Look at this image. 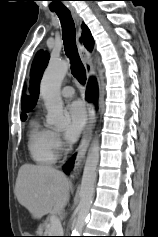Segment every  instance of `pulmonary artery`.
I'll return each mask as SVG.
<instances>
[{"label": "pulmonary artery", "instance_id": "pulmonary-artery-1", "mask_svg": "<svg viewBox=\"0 0 158 237\" xmlns=\"http://www.w3.org/2000/svg\"><path fill=\"white\" fill-rule=\"evenodd\" d=\"M74 88L71 86H65L61 90V95L65 98H71L74 96Z\"/></svg>", "mask_w": 158, "mask_h": 237}]
</instances>
